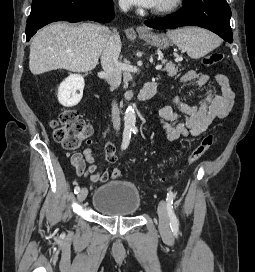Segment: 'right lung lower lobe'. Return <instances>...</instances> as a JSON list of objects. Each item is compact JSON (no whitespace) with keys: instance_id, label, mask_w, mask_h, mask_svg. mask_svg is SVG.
I'll return each instance as SVG.
<instances>
[{"instance_id":"obj_1","label":"right lung lower lobe","mask_w":255,"mask_h":272,"mask_svg":"<svg viewBox=\"0 0 255 272\" xmlns=\"http://www.w3.org/2000/svg\"><path fill=\"white\" fill-rule=\"evenodd\" d=\"M114 17L112 0H33L26 25V40L43 26L56 21L109 22Z\"/></svg>"}]
</instances>
